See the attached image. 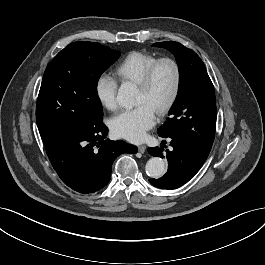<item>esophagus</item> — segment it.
Segmentation results:
<instances>
[{
    "label": "esophagus",
    "mask_w": 265,
    "mask_h": 265,
    "mask_svg": "<svg viewBox=\"0 0 265 265\" xmlns=\"http://www.w3.org/2000/svg\"><path fill=\"white\" fill-rule=\"evenodd\" d=\"M138 151H139L140 153H144V152L146 151V146H145V145H139V146H138Z\"/></svg>",
    "instance_id": "1"
}]
</instances>
